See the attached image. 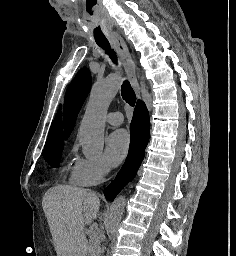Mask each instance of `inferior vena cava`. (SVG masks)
Listing matches in <instances>:
<instances>
[{"label": "inferior vena cava", "mask_w": 236, "mask_h": 256, "mask_svg": "<svg viewBox=\"0 0 236 256\" xmlns=\"http://www.w3.org/2000/svg\"><path fill=\"white\" fill-rule=\"evenodd\" d=\"M89 194H93V196H95L94 192H89Z\"/></svg>", "instance_id": "obj_1"}]
</instances>
